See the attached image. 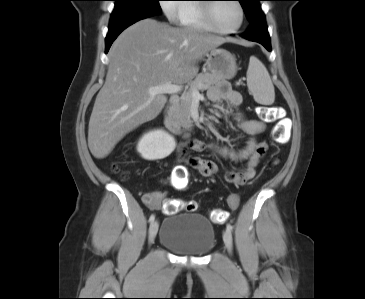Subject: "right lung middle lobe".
I'll return each instance as SVG.
<instances>
[{
  "mask_svg": "<svg viewBox=\"0 0 365 299\" xmlns=\"http://www.w3.org/2000/svg\"><path fill=\"white\" fill-rule=\"evenodd\" d=\"M116 1L111 19H118L131 14H159L162 10L160 0H113Z\"/></svg>",
  "mask_w": 365,
  "mask_h": 299,
  "instance_id": "right-lung-middle-lobe-1",
  "label": "right lung middle lobe"
}]
</instances>
